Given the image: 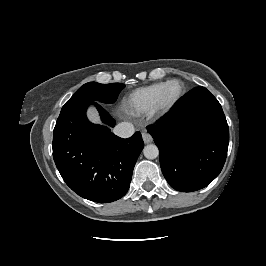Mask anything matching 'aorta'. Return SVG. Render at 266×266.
<instances>
[{
    "label": "aorta",
    "instance_id": "obj_1",
    "mask_svg": "<svg viewBox=\"0 0 266 266\" xmlns=\"http://www.w3.org/2000/svg\"><path fill=\"white\" fill-rule=\"evenodd\" d=\"M143 154L147 159H155L159 155L158 147L154 144L146 145L143 149Z\"/></svg>",
    "mask_w": 266,
    "mask_h": 266
}]
</instances>
